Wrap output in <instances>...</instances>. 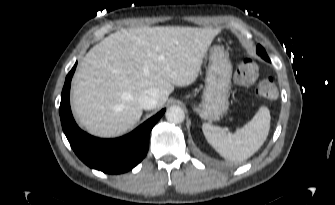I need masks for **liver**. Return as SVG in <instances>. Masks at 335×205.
<instances>
[{"label": "liver", "instance_id": "liver-1", "mask_svg": "<svg viewBox=\"0 0 335 205\" xmlns=\"http://www.w3.org/2000/svg\"><path fill=\"white\" fill-rule=\"evenodd\" d=\"M219 29L183 26L137 27L117 31L93 46L72 82L73 111L89 133L119 136L140 120L138 103L149 89L162 107L174 86L198 77Z\"/></svg>", "mask_w": 335, "mask_h": 205}]
</instances>
